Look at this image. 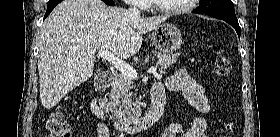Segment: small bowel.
<instances>
[{"label": "small bowel", "instance_id": "small-bowel-1", "mask_svg": "<svg viewBox=\"0 0 280 137\" xmlns=\"http://www.w3.org/2000/svg\"><path fill=\"white\" fill-rule=\"evenodd\" d=\"M163 87L184 95L199 113L209 112L210 105L205 88L191 77L185 69H178L174 75L167 79ZM104 133L105 130H102L100 137H104ZM208 135L209 125L207 121L198 116H192L188 122L171 124L160 137H208Z\"/></svg>", "mask_w": 280, "mask_h": 137}]
</instances>
